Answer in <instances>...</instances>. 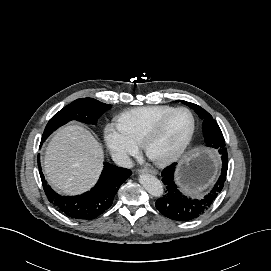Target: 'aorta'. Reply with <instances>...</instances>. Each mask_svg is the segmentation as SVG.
<instances>
[{
    "instance_id": "obj_1",
    "label": "aorta",
    "mask_w": 271,
    "mask_h": 271,
    "mask_svg": "<svg viewBox=\"0 0 271 271\" xmlns=\"http://www.w3.org/2000/svg\"><path fill=\"white\" fill-rule=\"evenodd\" d=\"M139 182L145 190L154 197H161L164 193L162 182L153 175L141 174L139 176Z\"/></svg>"
}]
</instances>
